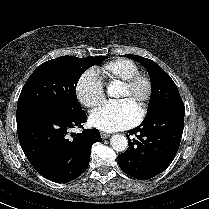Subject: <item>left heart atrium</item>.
Segmentation results:
<instances>
[{"mask_svg":"<svg viewBox=\"0 0 209 209\" xmlns=\"http://www.w3.org/2000/svg\"><path fill=\"white\" fill-rule=\"evenodd\" d=\"M138 112L127 102L106 104L94 111L89 118L91 126L103 132H115L133 126Z\"/></svg>","mask_w":209,"mask_h":209,"instance_id":"1","label":"left heart atrium"}]
</instances>
